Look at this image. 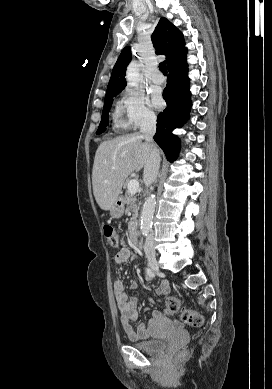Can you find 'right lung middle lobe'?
<instances>
[{
    "mask_svg": "<svg viewBox=\"0 0 272 389\" xmlns=\"http://www.w3.org/2000/svg\"><path fill=\"white\" fill-rule=\"evenodd\" d=\"M118 93L119 92L112 93V94L105 97L102 118H101V122H100V125L98 127V130H97V134H101L105 130L106 126L108 125V122H109L108 112H109L110 107L112 105V98Z\"/></svg>",
    "mask_w": 272,
    "mask_h": 389,
    "instance_id": "right-lung-middle-lobe-1",
    "label": "right lung middle lobe"
}]
</instances>
